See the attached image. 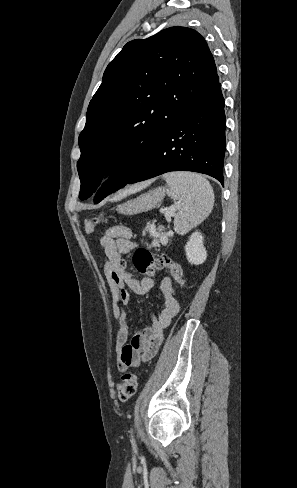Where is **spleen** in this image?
<instances>
[{
	"instance_id": "obj_1",
	"label": "spleen",
	"mask_w": 297,
	"mask_h": 488,
	"mask_svg": "<svg viewBox=\"0 0 297 488\" xmlns=\"http://www.w3.org/2000/svg\"><path fill=\"white\" fill-rule=\"evenodd\" d=\"M171 197L178 201L174 229L185 234L200 224L212 211L214 194L210 183L201 175L188 172L164 174Z\"/></svg>"
}]
</instances>
